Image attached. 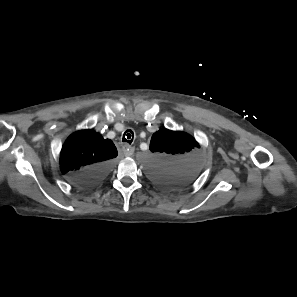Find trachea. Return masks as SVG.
Returning <instances> with one entry per match:
<instances>
[{
	"instance_id": "trachea-1",
	"label": "trachea",
	"mask_w": 297,
	"mask_h": 297,
	"mask_svg": "<svg viewBox=\"0 0 297 297\" xmlns=\"http://www.w3.org/2000/svg\"><path fill=\"white\" fill-rule=\"evenodd\" d=\"M133 137H134L133 131L127 130L122 137V142L131 144L133 142Z\"/></svg>"
}]
</instances>
